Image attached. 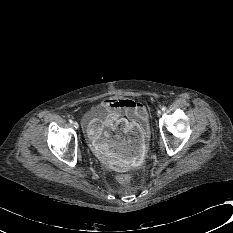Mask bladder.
<instances>
[{"label":"bladder","instance_id":"31cf9c89","mask_svg":"<svg viewBox=\"0 0 233 233\" xmlns=\"http://www.w3.org/2000/svg\"><path fill=\"white\" fill-rule=\"evenodd\" d=\"M95 112L103 113V110H101V109H95Z\"/></svg>","mask_w":233,"mask_h":233}]
</instances>
